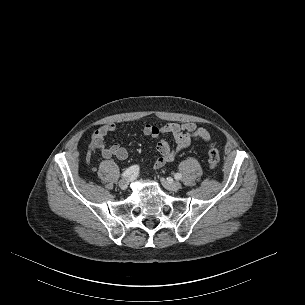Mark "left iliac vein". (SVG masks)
Returning <instances> with one entry per match:
<instances>
[{
    "label": "left iliac vein",
    "mask_w": 305,
    "mask_h": 305,
    "mask_svg": "<svg viewBox=\"0 0 305 305\" xmlns=\"http://www.w3.org/2000/svg\"><path fill=\"white\" fill-rule=\"evenodd\" d=\"M161 183L170 191H178L182 187L179 181L166 180L165 178H161Z\"/></svg>",
    "instance_id": "left-iliac-vein-1"
}]
</instances>
